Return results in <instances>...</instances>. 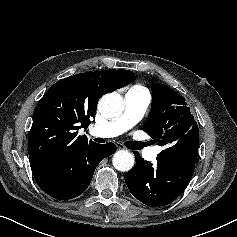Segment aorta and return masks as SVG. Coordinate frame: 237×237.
I'll use <instances>...</instances> for the list:
<instances>
[{"label": "aorta", "mask_w": 237, "mask_h": 237, "mask_svg": "<svg viewBox=\"0 0 237 237\" xmlns=\"http://www.w3.org/2000/svg\"><path fill=\"white\" fill-rule=\"evenodd\" d=\"M98 109L104 116H119L124 110V102L120 94L107 93L100 98ZM112 163L115 169L127 172L134 166V155L127 150H119L114 154Z\"/></svg>", "instance_id": "1"}]
</instances>
